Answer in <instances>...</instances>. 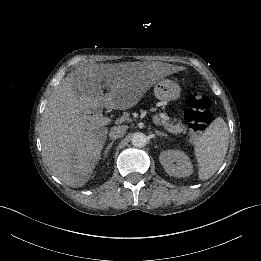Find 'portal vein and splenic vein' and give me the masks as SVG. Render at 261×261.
I'll return each instance as SVG.
<instances>
[{"label":"portal vein and splenic vein","mask_w":261,"mask_h":261,"mask_svg":"<svg viewBox=\"0 0 261 261\" xmlns=\"http://www.w3.org/2000/svg\"><path fill=\"white\" fill-rule=\"evenodd\" d=\"M150 118H151V122L157 127V128H160L161 127V123L157 121V119L153 116V115H150ZM109 119L107 118H101V119H98V123L99 125H106L108 123ZM177 126V125H175Z\"/></svg>","instance_id":"18ae733b"}]
</instances>
